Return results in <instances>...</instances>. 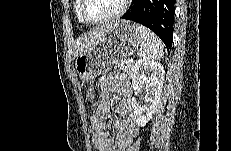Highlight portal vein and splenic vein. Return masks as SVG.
Instances as JSON below:
<instances>
[{
  "instance_id": "obj_1",
  "label": "portal vein and splenic vein",
  "mask_w": 231,
  "mask_h": 151,
  "mask_svg": "<svg viewBox=\"0 0 231 151\" xmlns=\"http://www.w3.org/2000/svg\"><path fill=\"white\" fill-rule=\"evenodd\" d=\"M124 61H125V63H131L132 62V60L129 58H125Z\"/></svg>"
}]
</instances>
